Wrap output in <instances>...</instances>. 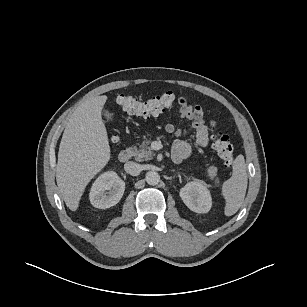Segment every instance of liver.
I'll list each match as a JSON object with an SVG mask.
<instances>
[{
    "instance_id": "obj_1",
    "label": "liver",
    "mask_w": 307,
    "mask_h": 307,
    "mask_svg": "<svg viewBox=\"0 0 307 307\" xmlns=\"http://www.w3.org/2000/svg\"><path fill=\"white\" fill-rule=\"evenodd\" d=\"M107 96L82 103L71 115L58 152L56 181L66 206L76 211L85 187L110 160V146L101 111Z\"/></svg>"
}]
</instances>
